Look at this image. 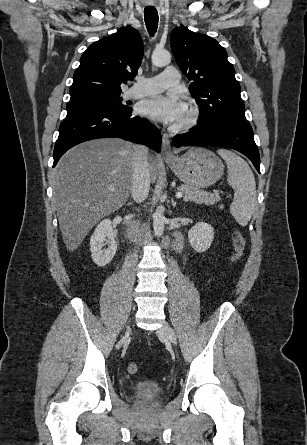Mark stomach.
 Segmentation results:
<instances>
[{
    "mask_svg": "<svg viewBox=\"0 0 307 445\" xmlns=\"http://www.w3.org/2000/svg\"><path fill=\"white\" fill-rule=\"evenodd\" d=\"M166 162L184 184L195 186V188H207L224 174L221 158L211 150L200 148V146L189 148L183 156H178L173 162L170 160Z\"/></svg>",
    "mask_w": 307,
    "mask_h": 445,
    "instance_id": "1",
    "label": "stomach"
}]
</instances>
